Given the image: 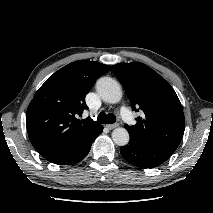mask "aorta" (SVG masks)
Listing matches in <instances>:
<instances>
[{"label": "aorta", "mask_w": 213, "mask_h": 213, "mask_svg": "<svg viewBox=\"0 0 213 213\" xmlns=\"http://www.w3.org/2000/svg\"><path fill=\"white\" fill-rule=\"evenodd\" d=\"M96 90L102 100L107 103L115 104L122 98L120 84L110 77L100 78L97 81ZM112 139L115 144L125 146L128 144L130 139L129 132L122 127L116 128L112 132Z\"/></svg>", "instance_id": "obj_1"}]
</instances>
